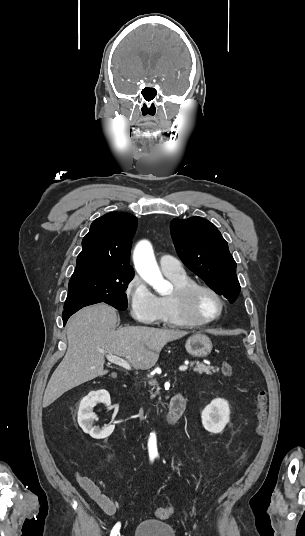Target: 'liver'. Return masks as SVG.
I'll list each match as a JSON object with an SVG mask.
<instances>
[{
  "label": "liver",
  "mask_w": 305,
  "mask_h": 536,
  "mask_svg": "<svg viewBox=\"0 0 305 536\" xmlns=\"http://www.w3.org/2000/svg\"><path fill=\"white\" fill-rule=\"evenodd\" d=\"M118 318L114 308L95 304L77 312L67 326L68 350L52 374L43 398V408L53 404L64 392L105 376L104 354L126 358L135 370H150L167 342L180 340L189 332L159 330L146 326H127L112 332Z\"/></svg>",
  "instance_id": "1"
}]
</instances>
